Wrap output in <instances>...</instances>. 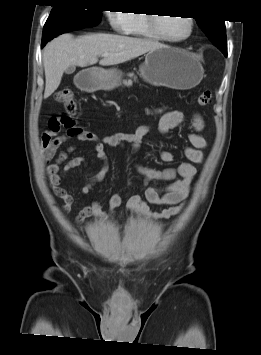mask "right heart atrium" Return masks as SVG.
<instances>
[{"mask_svg": "<svg viewBox=\"0 0 261 355\" xmlns=\"http://www.w3.org/2000/svg\"><path fill=\"white\" fill-rule=\"evenodd\" d=\"M107 17L116 32L127 33L130 26V14L127 11L110 10Z\"/></svg>", "mask_w": 261, "mask_h": 355, "instance_id": "right-heart-atrium-1", "label": "right heart atrium"}]
</instances>
